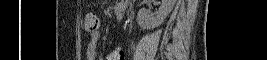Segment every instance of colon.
I'll use <instances>...</instances> for the list:
<instances>
[{
	"mask_svg": "<svg viewBox=\"0 0 267 60\" xmlns=\"http://www.w3.org/2000/svg\"><path fill=\"white\" fill-rule=\"evenodd\" d=\"M84 26L87 32L94 33L99 26V19L94 13H87L84 17Z\"/></svg>",
	"mask_w": 267,
	"mask_h": 60,
	"instance_id": "obj_1",
	"label": "colon"
}]
</instances>
